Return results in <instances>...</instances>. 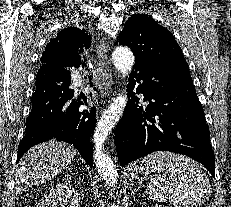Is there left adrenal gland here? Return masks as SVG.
<instances>
[{
    "mask_svg": "<svg viewBox=\"0 0 231 207\" xmlns=\"http://www.w3.org/2000/svg\"><path fill=\"white\" fill-rule=\"evenodd\" d=\"M136 187H137V186H136ZM135 190H136V191H138V190H139V188H136Z\"/></svg>",
    "mask_w": 231,
    "mask_h": 207,
    "instance_id": "left-adrenal-gland-1",
    "label": "left adrenal gland"
}]
</instances>
